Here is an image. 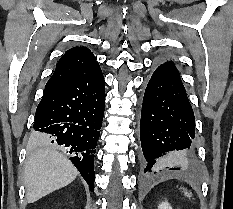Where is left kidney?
Here are the masks:
<instances>
[{"label":"left kidney","instance_id":"obj_1","mask_svg":"<svg viewBox=\"0 0 233 209\" xmlns=\"http://www.w3.org/2000/svg\"><path fill=\"white\" fill-rule=\"evenodd\" d=\"M158 209H172V207L170 206V204L168 202H162Z\"/></svg>","mask_w":233,"mask_h":209}]
</instances>
